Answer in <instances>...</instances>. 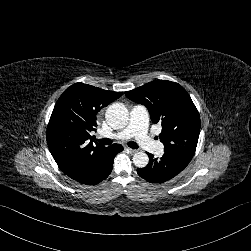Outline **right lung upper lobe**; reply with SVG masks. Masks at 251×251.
<instances>
[{
    "mask_svg": "<svg viewBox=\"0 0 251 251\" xmlns=\"http://www.w3.org/2000/svg\"><path fill=\"white\" fill-rule=\"evenodd\" d=\"M121 95L79 82L60 96L47 127V143L66 175L74 177L107 157L109 147L94 145L90 132L96 130V114Z\"/></svg>",
    "mask_w": 251,
    "mask_h": 251,
    "instance_id": "right-lung-upper-lobe-1",
    "label": "right lung upper lobe"
}]
</instances>
